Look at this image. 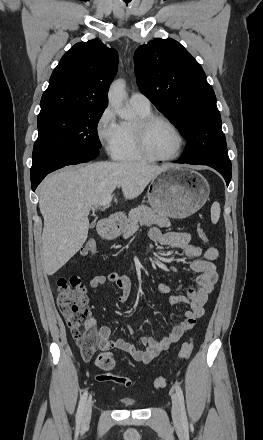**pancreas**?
<instances>
[{
    "mask_svg": "<svg viewBox=\"0 0 263 440\" xmlns=\"http://www.w3.org/2000/svg\"><path fill=\"white\" fill-rule=\"evenodd\" d=\"M140 225L152 226L154 224L159 227H169L170 220L166 216L158 214L153 209L141 205L133 208L129 212V217L123 224V238L132 236L139 228Z\"/></svg>",
    "mask_w": 263,
    "mask_h": 440,
    "instance_id": "1",
    "label": "pancreas"
}]
</instances>
